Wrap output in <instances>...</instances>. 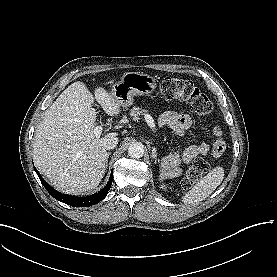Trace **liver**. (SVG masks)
Segmentation results:
<instances>
[{
    "instance_id": "liver-1",
    "label": "liver",
    "mask_w": 277,
    "mask_h": 277,
    "mask_svg": "<svg viewBox=\"0 0 277 277\" xmlns=\"http://www.w3.org/2000/svg\"><path fill=\"white\" fill-rule=\"evenodd\" d=\"M95 99L108 115L120 113V104L103 87L95 88L93 96L83 82L77 81L45 111L35 131V166L52 186L66 194L92 192L105 173L104 141L115 133L95 136Z\"/></svg>"
}]
</instances>
